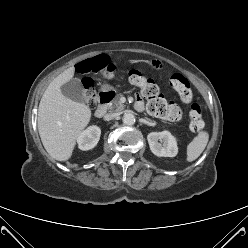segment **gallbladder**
Wrapping results in <instances>:
<instances>
[{
	"instance_id": "obj_1",
	"label": "gallbladder",
	"mask_w": 248,
	"mask_h": 248,
	"mask_svg": "<svg viewBox=\"0 0 248 248\" xmlns=\"http://www.w3.org/2000/svg\"><path fill=\"white\" fill-rule=\"evenodd\" d=\"M61 92L65 97L73 101H77L81 103L88 102L84 94L82 83L78 78H73L70 81L64 83L61 86Z\"/></svg>"
}]
</instances>
